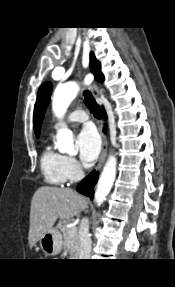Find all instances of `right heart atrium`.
Returning <instances> with one entry per match:
<instances>
[{
    "label": "right heart atrium",
    "mask_w": 175,
    "mask_h": 287,
    "mask_svg": "<svg viewBox=\"0 0 175 287\" xmlns=\"http://www.w3.org/2000/svg\"><path fill=\"white\" fill-rule=\"evenodd\" d=\"M64 171L67 179L74 180L80 176L81 166L74 157L65 156Z\"/></svg>",
    "instance_id": "1"
}]
</instances>
